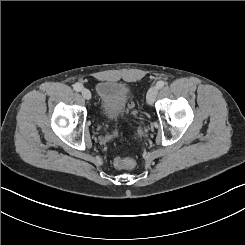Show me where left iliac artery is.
I'll use <instances>...</instances> for the list:
<instances>
[{
	"label": "left iliac artery",
	"mask_w": 245,
	"mask_h": 245,
	"mask_svg": "<svg viewBox=\"0 0 245 245\" xmlns=\"http://www.w3.org/2000/svg\"><path fill=\"white\" fill-rule=\"evenodd\" d=\"M165 86V82L164 81H158L157 84H156V87L158 89H161Z\"/></svg>",
	"instance_id": "44dca946"
}]
</instances>
